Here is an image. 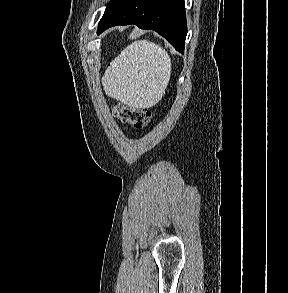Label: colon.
Segmentation results:
<instances>
[{"mask_svg": "<svg viewBox=\"0 0 288 293\" xmlns=\"http://www.w3.org/2000/svg\"><path fill=\"white\" fill-rule=\"evenodd\" d=\"M115 115L123 122L129 123L137 129L144 128L153 118V114L148 109L135 108L126 105H116Z\"/></svg>", "mask_w": 288, "mask_h": 293, "instance_id": "obj_1", "label": "colon"}]
</instances>
